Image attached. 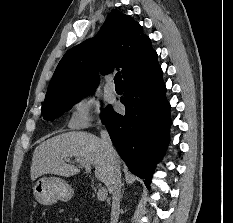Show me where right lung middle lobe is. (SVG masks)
Listing matches in <instances>:
<instances>
[{
    "instance_id": "1",
    "label": "right lung middle lobe",
    "mask_w": 233,
    "mask_h": 223,
    "mask_svg": "<svg viewBox=\"0 0 233 223\" xmlns=\"http://www.w3.org/2000/svg\"><path fill=\"white\" fill-rule=\"evenodd\" d=\"M94 89L79 92L73 95H70L58 102L47 104L42 106L43 118L48 121H53L54 119L61 116L64 112L71 109V107L80 101L82 97L93 93Z\"/></svg>"
}]
</instances>
